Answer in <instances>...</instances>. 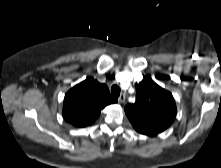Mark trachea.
<instances>
[{"label":"trachea","instance_id":"obj_1","mask_svg":"<svg viewBox=\"0 0 221 168\" xmlns=\"http://www.w3.org/2000/svg\"><path fill=\"white\" fill-rule=\"evenodd\" d=\"M111 93L112 95L118 97L120 95V88L117 85H113L111 87Z\"/></svg>","mask_w":221,"mask_h":168}]
</instances>
